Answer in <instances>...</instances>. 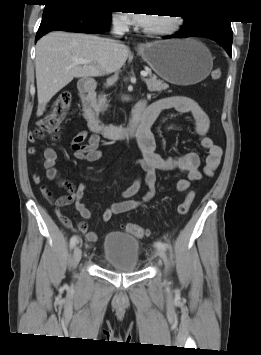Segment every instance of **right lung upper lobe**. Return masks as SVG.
Returning a JSON list of instances; mask_svg holds the SVG:
<instances>
[{
    "label": "right lung upper lobe",
    "instance_id": "obj_1",
    "mask_svg": "<svg viewBox=\"0 0 261 355\" xmlns=\"http://www.w3.org/2000/svg\"><path fill=\"white\" fill-rule=\"evenodd\" d=\"M46 3H51V2H59V1H65V0H45ZM76 1H82V0H76Z\"/></svg>",
    "mask_w": 261,
    "mask_h": 355
}]
</instances>
